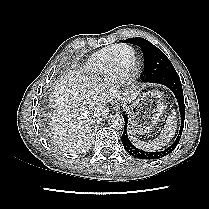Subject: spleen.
<instances>
[{
  "instance_id": "3e777b00",
  "label": "spleen",
  "mask_w": 209,
  "mask_h": 209,
  "mask_svg": "<svg viewBox=\"0 0 209 209\" xmlns=\"http://www.w3.org/2000/svg\"><path fill=\"white\" fill-rule=\"evenodd\" d=\"M176 114L173 111L166 119V124L164 125V129L161 131L160 135L152 141L144 142L136 137H131L132 142L136 147L141 148L147 151H155L161 149L165 145H167L176 132Z\"/></svg>"
}]
</instances>
